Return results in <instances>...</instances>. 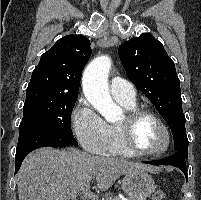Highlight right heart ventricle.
I'll return each instance as SVG.
<instances>
[{"label": "right heart ventricle", "mask_w": 201, "mask_h": 200, "mask_svg": "<svg viewBox=\"0 0 201 200\" xmlns=\"http://www.w3.org/2000/svg\"><path fill=\"white\" fill-rule=\"evenodd\" d=\"M124 109L131 111L136 109L135 101H125L120 99H115ZM108 127V139L106 150L103 154L114 155V156H134L128 152L121 141L120 132L118 129V124H109Z\"/></svg>", "instance_id": "1"}]
</instances>
